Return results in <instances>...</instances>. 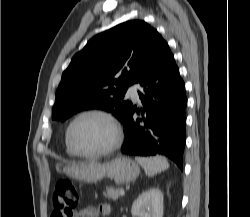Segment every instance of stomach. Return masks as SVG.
I'll use <instances>...</instances> for the list:
<instances>
[{
	"label": "stomach",
	"mask_w": 250,
	"mask_h": 217,
	"mask_svg": "<svg viewBox=\"0 0 250 217\" xmlns=\"http://www.w3.org/2000/svg\"><path fill=\"white\" fill-rule=\"evenodd\" d=\"M64 172L73 178L92 183L108 177L117 184H125L134 181L140 169L133 160L119 157L105 164L93 161L70 164L64 168Z\"/></svg>",
	"instance_id": "stomach-1"
}]
</instances>
